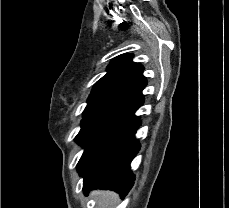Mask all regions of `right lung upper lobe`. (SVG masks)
I'll use <instances>...</instances> for the list:
<instances>
[{"instance_id": "cb5924a9", "label": "right lung upper lobe", "mask_w": 229, "mask_h": 208, "mask_svg": "<svg viewBox=\"0 0 229 208\" xmlns=\"http://www.w3.org/2000/svg\"><path fill=\"white\" fill-rule=\"evenodd\" d=\"M132 54L119 55L111 61L108 72L93 86L88 103L117 99L143 104V89L147 80L143 76V66L132 62Z\"/></svg>"}]
</instances>
